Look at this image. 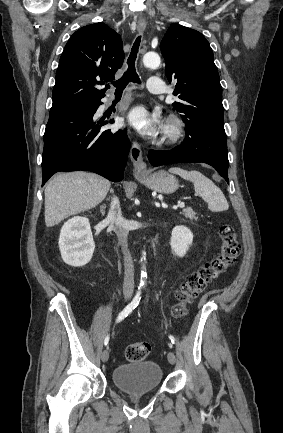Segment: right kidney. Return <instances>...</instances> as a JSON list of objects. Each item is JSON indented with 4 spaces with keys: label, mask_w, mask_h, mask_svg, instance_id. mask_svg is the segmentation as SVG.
Here are the masks:
<instances>
[{
    "label": "right kidney",
    "mask_w": 283,
    "mask_h": 433,
    "mask_svg": "<svg viewBox=\"0 0 283 433\" xmlns=\"http://www.w3.org/2000/svg\"><path fill=\"white\" fill-rule=\"evenodd\" d=\"M63 261L73 267L85 266L95 249L89 219L75 216L64 223L59 237Z\"/></svg>",
    "instance_id": "ca27d5eb"
}]
</instances>
